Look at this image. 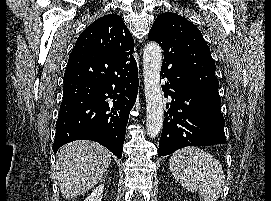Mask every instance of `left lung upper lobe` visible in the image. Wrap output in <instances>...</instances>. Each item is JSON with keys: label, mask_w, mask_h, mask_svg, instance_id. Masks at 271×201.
Wrapping results in <instances>:
<instances>
[{"label": "left lung upper lobe", "mask_w": 271, "mask_h": 201, "mask_svg": "<svg viewBox=\"0 0 271 201\" xmlns=\"http://www.w3.org/2000/svg\"><path fill=\"white\" fill-rule=\"evenodd\" d=\"M148 39L159 43L164 50V57L170 56L169 51L172 48H177L180 66L192 86L202 93L225 122L220 110L221 98L218 93L219 81L215 75V62L200 30L186 18L164 12L154 21Z\"/></svg>", "instance_id": "1"}]
</instances>
